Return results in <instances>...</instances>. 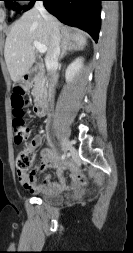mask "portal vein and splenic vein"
<instances>
[{
	"label": "portal vein and splenic vein",
	"mask_w": 133,
	"mask_h": 253,
	"mask_svg": "<svg viewBox=\"0 0 133 253\" xmlns=\"http://www.w3.org/2000/svg\"><path fill=\"white\" fill-rule=\"evenodd\" d=\"M34 47L40 52V53H45L47 51V47L46 45L38 42V41H34L33 42Z\"/></svg>",
	"instance_id": "portal-vein-and-splenic-vein-1"
}]
</instances>
